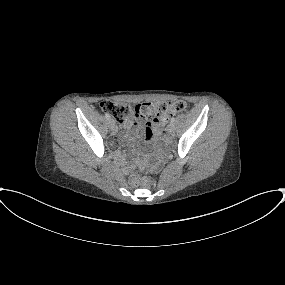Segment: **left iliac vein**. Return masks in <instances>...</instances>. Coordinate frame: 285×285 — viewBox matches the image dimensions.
Returning a JSON list of instances; mask_svg holds the SVG:
<instances>
[{
	"label": "left iliac vein",
	"instance_id": "4c4485c4",
	"mask_svg": "<svg viewBox=\"0 0 285 285\" xmlns=\"http://www.w3.org/2000/svg\"><path fill=\"white\" fill-rule=\"evenodd\" d=\"M167 132L168 133H173L174 132V126H173V124H169L168 126H167Z\"/></svg>",
	"mask_w": 285,
	"mask_h": 285
}]
</instances>
